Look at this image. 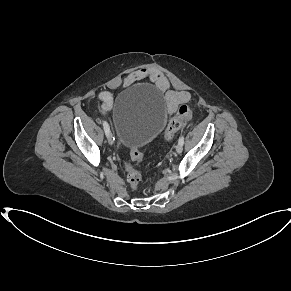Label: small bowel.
<instances>
[{
    "label": "small bowel",
    "instance_id": "obj_1",
    "mask_svg": "<svg viewBox=\"0 0 291 291\" xmlns=\"http://www.w3.org/2000/svg\"><path fill=\"white\" fill-rule=\"evenodd\" d=\"M144 79H149L160 92L165 93L166 111L169 114L174 113L180 104L190 99V94L186 91L168 90L170 86L168 79L155 68H142L131 72L123 79V86L127 87ZM99 101L102 113L108 114L113 104L112 95L108 91H103L99 94Z\"/></svg>",
    "mask_w": 291,
    "mask_h": 291
}]
</instances>
